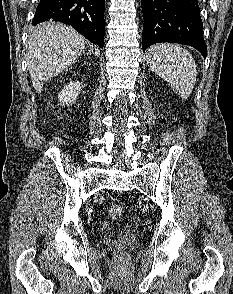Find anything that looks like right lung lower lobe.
Instances as JSON below:
<instances>
[{
    "label": "right lung lower lobe",
    "mask_w": 233,
    "mask_h": 294,
    "mask_svg": "<svg viewBox=\"0 0 233 294\" xmlns=\"http://www.w3.org/2000/svg\"><path fill=\"white\" fill-rule=\"evenodd\" d=\"M104 9L105 0H40L32 24L49 19L63 22L103 48Z\"/></svg>",
    "instance_id": "obj_1"
}]
</instances>
